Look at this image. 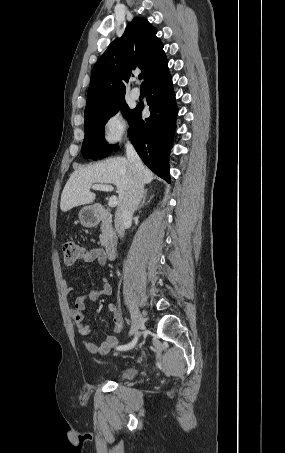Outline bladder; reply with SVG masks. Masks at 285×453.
<instances>
[{
    "label": "bladder",
    "mask_w": 285,
    "mask_h": 453,
    "mask_svg": "<svg viewBox=\"0 0 285 453\" xmlns=\"http://www.w3.org/2000/svg\"><path fill=\"white\" fill-rule=\"evenodd\" d=\"M137 374V369L134 367H124L116 373L118 379H131Z\"/></svg>",
    "instance_id": "bladder-1"
}]
</instances>
